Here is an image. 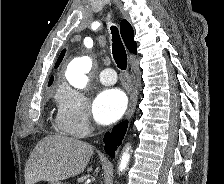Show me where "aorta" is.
<instances>
[{
  "mask_svg": "<svg viewBox=\"0 0 224 184\" xmlns=\"http://www.w3.org/2000/svg\"><path fill=\"white\" fill-rule=\"evenodd\" d=\"M92 68V60L88 56L76 58L72 60L66 70L65 76L68 82L75 88L83 89L86 87L88 82L87 73ZM130 147H127L126 150L123 152L120 158L119 164V171L122 172L126 169L130 154H129Z\"/></svg>",
  "mask_w": 224,
  "mask_h": 184,
  "instance_id": "1",
  "label": "aorta"
}]
</instances>
